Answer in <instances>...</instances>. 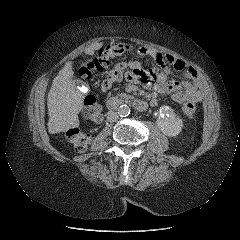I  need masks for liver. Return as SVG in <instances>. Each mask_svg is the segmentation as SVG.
<instances>
[{
  "label": "liver",
  "instance_id": "liver-1",
  "mask_svg": "<svg viewBox=\"0 0 240 240\" xmlns=\"http://www.w3.org/2000/svg\"><path fill=\"white\" fill-rule=\"evenodd\" d=\"M103 42L91 44L85 54L93 55L103 46ZM72 62H66L52 82L48 93V131L51 134L65 132L79 126L78 114L83 106V93L73 82Z\"/></svg>",
  "mask_w": 240,
  "mask_h": 240
}]
</instances>
